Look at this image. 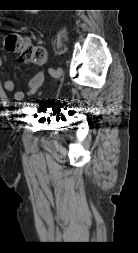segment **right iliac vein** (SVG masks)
Segmentation results:
<instances>
[{"label": "right iliac vein", "instance_id": "right-iliac-vein-1", "mask_svg": "<svg viewBox=\"0 0 138 253\" xmlns=\"http://www.w3.org/2000/svg\"><path fill=\"white\" fill-rule=\"evenodd\" d=\"M62 74V70L61 69H58L55 73V78H58L60 77V75Z\"/></svg>", "mask_w": 138, "mask_h": 253}]
</instances>
